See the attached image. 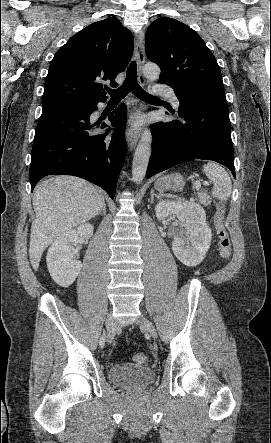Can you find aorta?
Listing matches in <instances>:
<instances>
[{"mask_svg":"<svg viewBox=\"0 0 271 443\" xmlns=\"http://www.w3.org/2000/svg\"><path fill=\"white\" fill-rule=\"evenodd\" d=\"M144 76L150 82L158 80L160 76V68L157 64H146L144 70ZM151 142L152 136L149 130H144L141 140L135 150L133 164H132V180L136 184H141L143 178L146 176L149 158L151 156Z\"/></svg>","mask_w":271,"mask_h":443,"instance_id":"1","label":"aorta"}]
</instances>
